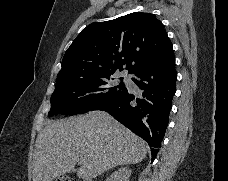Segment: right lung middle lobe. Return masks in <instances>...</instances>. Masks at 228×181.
Instances as JSON below:
<instances>
[{
	"label": "right lung middle lobe",
	"instance_id": "right-lung-middle-lobe-1",
	"mask_svg": "<svg viewBox=\"0 0 228 181\" xmlns=\"http://www.w3.org/2000/svg\"><path fill=\"white\" fill-rule=\"evenodd\" d=\"M111 76L56 86L48 114H83L90 110H102L114 103L123 96L126 87L123 82L117 86L110 84Z\"/></svg>",
	"mask_w": 228,
	"mask_h": 181
}]
</instances>
